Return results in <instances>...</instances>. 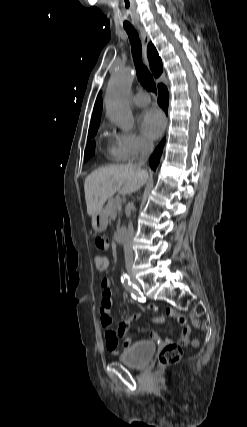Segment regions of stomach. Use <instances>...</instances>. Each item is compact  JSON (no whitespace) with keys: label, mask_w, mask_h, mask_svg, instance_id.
I'll use <instances>...</instances> for the list:
<instances>
[{"label":"stomach","mask_w":247,"mask_h":427,"mask_svg":"<svg viewBox=\"0 0 247 427\" xmlns=\"http://www.w3.org/2000/svg\"><path fill=\"white\" fill-rule=\"evenodd\" d=\"M108 224V217L104 210H101L92 218V227L97 232H103Z\"/></svg>","instance_id":"obj_1"}]
</instances>
